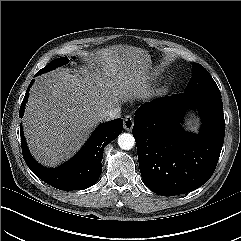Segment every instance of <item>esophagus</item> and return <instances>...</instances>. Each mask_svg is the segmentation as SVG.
Wrapping results in <instances>:
<instances>
[{"label": "esophagus", "instance_id": "1", "mask_svg": "<svg viewBox=\"0 0 241 241\" xmlns=\"http://www.w3.org/2000/svg\"><path fill=\"white\" fill-rule=\"evenodd\" d=\"M134 126L133 117L131 115H127L124 118V129L127 131H131Z\"/></svg>", "mask_w": 241, "mask_h": 241}]
</instances>
